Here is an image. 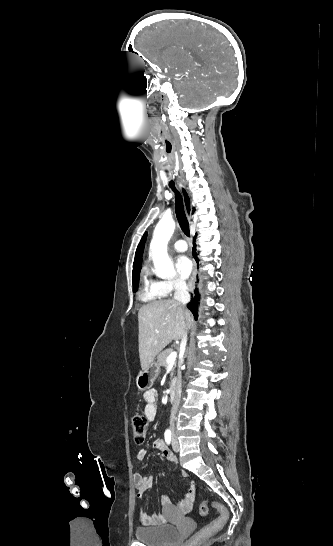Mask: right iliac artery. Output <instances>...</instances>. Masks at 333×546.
<instances>
[{
	"label": "right iliac artery",
	"instance_id": "82829eb1",
	"mask_svg": "<svg viewBox=\"0 0 333 546\" xmlns=\"http://www.w3.org/2000/svg\"><path fill=\"white\" fill-rule=\"evenodd\" d=\"M171 436H172V433L170 430H166L165 431V434H164V438H165V441L167 444H170L171 443Z\"/></svg>",
	"mask_w": 333,
	"mask_h": 546
}]
</instances>
